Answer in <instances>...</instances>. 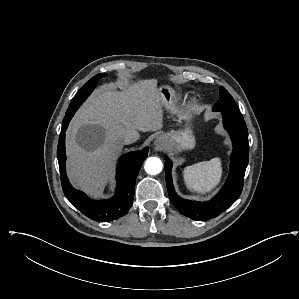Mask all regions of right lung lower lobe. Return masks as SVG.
I'll return each instance as SVG.
<instances>
[{
    "instance_id": "right-lung-lower-lobe-1",
    "label": "right lung lower lobe",
    "mask_w": 299,
    "mask_h": 299,
    "mask_svg": "<svg viewBox=\"0 0 299 299\" xmlns=\"http://www.w3.org/2000/svg\"><path fill=\"white\" fill-rule=\"evenodd\" d=\"M75 110L64 117L58 142L57 156L61 175V182L66 198L84 215L95 221H113L130 209L135 190L137 174L147 157L149 148L130 152L119 159L116 173V194L109 200H89L83 192L74 189L66 176L65 171V131Z\"/></svg>"
}]
</instances>
